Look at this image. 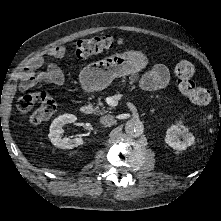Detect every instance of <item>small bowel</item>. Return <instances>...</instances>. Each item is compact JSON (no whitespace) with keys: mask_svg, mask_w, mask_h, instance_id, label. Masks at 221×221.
Returning a JSON list of instances; mask_svg holds the SVG:
<instances>
[{"mask_svg":"<svg viewBox=\"0 0 221 221\" xmlns=\"http://www.w3.org/2000/svg\"><path fill=\"white\" fill-rule=\"evenodd\" d=\"M66 54V48L59 46L48 51L44 56L33 58L25 67L21 81L20 89L29 90L37 84H54L62 86L66 83L63 72L54 64H45V57L59 58ZM169 82V72L166 66L162 64L155 65L141 79V86L146 90H159L164 88Z\"/></svg>","mask_w":221,"mask_h":221,"instance_id":"c3829d8e","label":"small bowel"}]
</instances>
